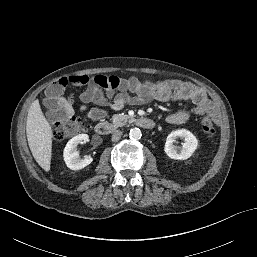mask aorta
<instances>
[{"label":"aorta","mask_w":257,"mask_h":257,"mask_svg":"<svg viewBox=\"0 0 257 257\" xmlns=\"http://www.w3.org/2000/svg\"><path fill=\"white\" fill-rule=\"evenodd\" d=\"M142 136L141 130L139 128H132L129 132V137L132 140H138Z\"/></svg>","instance_id":"aorta-1"}]
</instances>
